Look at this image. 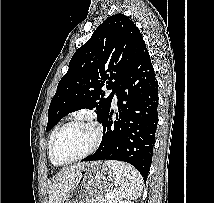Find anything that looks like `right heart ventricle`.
<instances>
[{
	"instance_id": "e07e8e85",
	"label": "right heart ventricle",
	"mask_w": 214,
	"mask_h": 203,
	"mask_svg": "<svg viewBox=\"0 0 214 203\" xmlns=\"http://www.w3.org/2000/svg\"><path fill=\"white\" fill-rule=\"evenodd\" d=\"M61 125H62V124L57 125V126L52 130V132H51V134H50V136H49V142H48V148H49V150H48V154H49V158H50L51 162H52L54 165H59V164L55 163L54 160L52 159V156H51V145H52L53 137H54L56 131L60 128Z\"/></svg>"
}]
</instances>
